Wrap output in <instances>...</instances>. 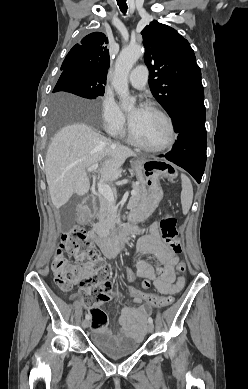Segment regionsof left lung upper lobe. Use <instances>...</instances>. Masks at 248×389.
I'll list each match as a JSON object with an SVG mask.
<instances>
[{
	"label": "left lung upper lobe",
	"instance_id": "left-lung-upper-lobe-1",
	"mask_svg": "<svg viewBox=\"0 0 248 389\" xmlns=\"http://www.w3.org/2000/svg\"><path fill=\"white\" fill-rule=\"evenodd\" d=\"M141 34L151 92L168 114L184 99L204 94L201 71L186 39L155 20Z\"/></svg>",
	"mask_w": 248,
	"mask_h": 389
}]
</instances>
